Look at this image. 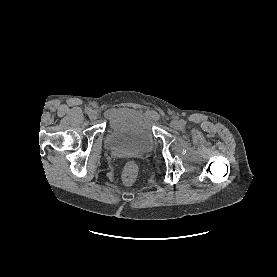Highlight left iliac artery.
<instances>
[{
    "instance_id": "left-iliac-artery-1",
    "label": "left iliac artery",
    "mask_w": 277,
    "mask_h": 277,
    "mask_svg": "<svg viewBox=\"0 0 277 277\" xmlns=\"http://www.w3.org/2000/svg\"><path fill=\"white\" fill-rule=\"evenodd\" d=\"M185 124H186L185 121L182 120L181 121V126H185Z\"/></svg>"
}]
</instances>
